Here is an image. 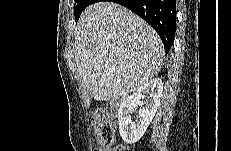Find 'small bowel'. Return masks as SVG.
<instances>
[{
    "label": "small bowel",
    "instance_id": "c3829d8e",
    "mask_svg": "<svg viewBox=\"0 0 231 151\" xmlns=\"http://www.w3.org/2000/svg\"><path fill=\"white\" fill-rule=\"evenodd\" d=\"M98 147L95 149L96 151H108V148L106 145H104L103 143H101L98 139Z\"/></svg>",
    "mask_w": 231,
    "mask_h": 151
}]
</instances>
